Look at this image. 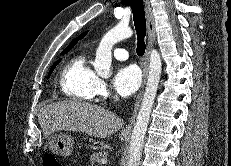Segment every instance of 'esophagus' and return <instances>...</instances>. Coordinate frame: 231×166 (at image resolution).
Returning <instances> with one entry per match:
<instances>
[{
	"instance_id": "1",
	"label": "esophagus",
	"mask_w": 231,
	"mask_h": 166,
	"mask_svg": "<svg viewBox=\"0 0 231 166\" xmlns=\"http://www.w3.org/2000/svg\"><path fill=\"white\" fill-rule=\"evenodd\" d=\"M145 3V12H146V20H147V31H148V45L147 49L145 52L144 56V61H143V82L142 86L140 89V92L137 96L135 105H134V111L133 114L129 120V123L126 125V127L122 130V134H128L132 130V126L135 122V118L137 116V112L140 107V103L143 97L145 85H146V80H147V75H148V69H149V54H150V49L153 46L155 39H156V32H155V21H154V16H153V11L150 5L149 0H144Z\"/></svg>"
}]
</instances>
